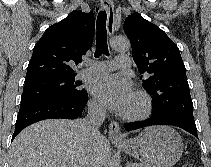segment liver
Returning <instances> with one entry per match:
<instances>
[{"label": "liver", "instance_id": "liver-1", "mask_svg": "<svg viewBox=\"0 0 211 167\" xmlns=\"http://www.w3.org/2000/svg\"><path fill=\"white\" fill-rule=\"evenodd\" d=\"M108 141L92 142L83 120L48 119L25 128L14 139L9 167H82L90 157L96 167L107 162Z\"/></svg>", "mask_w": 211, "mask_h": 167}]
</instances>
